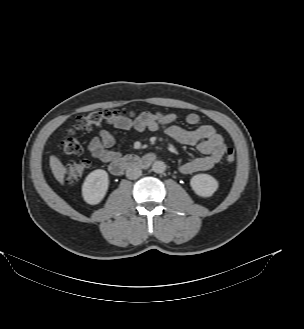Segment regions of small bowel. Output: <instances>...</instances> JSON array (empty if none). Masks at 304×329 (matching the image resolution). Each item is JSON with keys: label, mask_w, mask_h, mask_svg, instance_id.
Listing matches in <instances>:
<instances>
[{"label": "small bowel", "mask_w": 304, "mask_h": 329, "mask_svg": "<svg viewBox=\"0 0 304 329\" xmlns=\"http://www.w3.org/2000/svg\"><path fill=\"white\" fill-rule=\"evenodd\" d=\"M152 116L149 122L141 119L132 120L127 117L113 119L109 125L121 130H134L143 132L146 130L157 131L164 129L166 135L175 141L194 146L203 154L184 162L180 166V172L183 174H193L200 171H206L216 166L226 152L227 146L223 137L209 124L200 123V116L197 113H189L185 117V122L190 126H197L194 129H186L177 124V113L147 112ZM115 143L113 133L108 129H102L99 136L93 138L88 145L91 155L103 162L109 163L116 160L120 153L112 150Z\"/></svg>", "instance_id": "1"}]
</instances>
